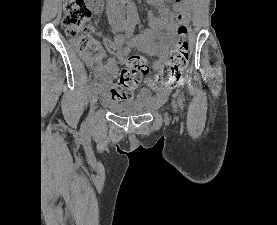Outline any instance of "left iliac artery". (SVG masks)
Masks as SVG:
<instances>
[{"instance_id":"left-iliac-artery-1","label":"left iliac artery","mask_w":277,"mask_h":225,"mask_svg":"<svg viewBox=\"0 0 277 225\" xmlns=\"http://www.w3.org/2000/svg\"><path fill=\"white\" fill-rule=\"evenodd\" d=\"M135 22L136 23H139L140 21H139V18H136L135 19ZM183 100H184V94L183 93H180V95H179V102H180V104H183Z\"/></svg>"}]
</instances>
